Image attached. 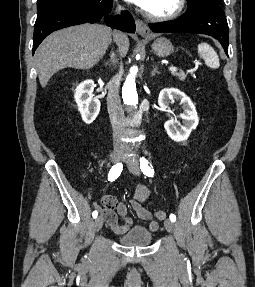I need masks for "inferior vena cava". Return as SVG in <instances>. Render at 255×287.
<instances>
[{
	"instance_id": "602c4592",
	"label": "inferior vena cava",
	"mask_w": 255,
	"mask_h": 287,
	"mask_svg": "<svg viewBox=\"0 0 255 287\" xmlns=\"http://www.w3.org/2000/svg\"><path fill=\"white\" fill-rule=\"evenodd\" d=\"M119 10H121L119 6ZM121 32H113V36H120ZM123 74V66L120 62L119 72L110 80L107 96L108 114L113 128V142L114 147H125L122 142V132L125 128V116L119 98L120 80Z\"/></svg>"
}]
</instances>
